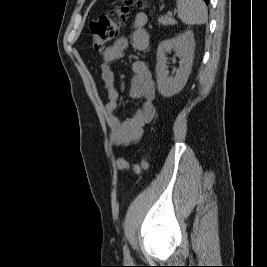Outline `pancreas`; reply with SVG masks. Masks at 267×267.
Instances as JSON below:
<instances>
[{
    "instance_id": "pancreas-1",
    "label": "pancreas",
    "mask_w": 267,
    "mask_h": 267,
    "mask_svg": "<svg viewBox=\"0 0 267 267\" xmlns=\"http://www.w3.org/2000/svg\"><path fill=\"white\" fill-rule=\"evenodd\" d=\"M159 25L162 24L164 26L167 25H175L177 21L169 16H162L158 19Z\"/></svg>"
}]
</instances>
